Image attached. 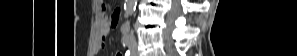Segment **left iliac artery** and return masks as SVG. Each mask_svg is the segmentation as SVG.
<instances>
[{"label":"left iliac artery","mask_w":297,"mask_h":56,"mask_svg":"<svg viewBox=\"0 0 297 56\" xmlns=\"http://www.w3.org/2000/svg\"><path fill=\"white\" fill-rule=\"evenodd\" d=\"M126 56H130V51H127L126 52Z\"/></svg>","instance_id":"left-iliac-artery-1"}]
</instances>
